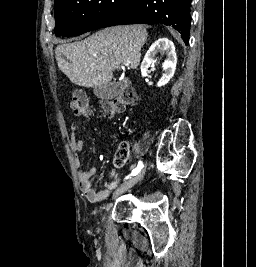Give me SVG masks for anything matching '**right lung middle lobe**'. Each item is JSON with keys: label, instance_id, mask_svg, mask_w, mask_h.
Masks as SVG:
<instances>
[{"label": "right lung middle lobe", "instance_id": "right-lung-middle-lobe-1", "mask_svg": "<svg viewBox=\"0 0 256 267\" xmlns=\"http://www.w3.org/2000/svg\"><path fill=\"white\" fill-rule=\"evenodd\" d=\"M135 0H58L55 35L76 36L102 28Z\"/></svg>", "mask_w": 256, "mask_h": 267}]
</instances>
